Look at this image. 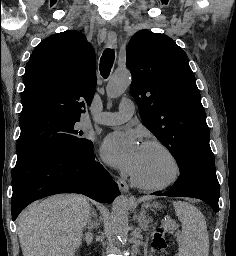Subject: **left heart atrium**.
<instances>
[{
  "instance_id": "1",
  "label": "left heart atrium",
  "mask_w": 236,
  "mask_h": 256,
  "mask_svg": "<svg viewBox=\"0 0 236 256\" xmlns=\"http://www.w3.org/2000/svg\"><path fill=\"white\" fill-rule=\"evenodd\" d=\"M142 145L135 131L109 134L102 144V154L113 166L131 173L137 164Z\"/></svg>"
}]
</instances>
